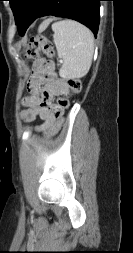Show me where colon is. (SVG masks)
Here are the masks:
<instances>
[{
  "label": "colon",
  "instance_id": "colon-1",
  "mask_svg": "<svg viewBox=\"0 0 133 253\" xmlns=\"http://www.w3.org/2000/svg\"><path fill=\"white\" fill-rule=\"evenodd\" d=\"M24 53L29 59H36L41 53L47 56L54 55V47L52 42L43 35H38L29 40L24 48ZM66 83L69 86V95L58 99L54 113L56 115L63 114V112L70 106L71 95L78 94L81 91V82L75 78H66Z\"/></svg>",
  "mask_w": 133,
  "mask_h": 253
}]
</instances>
